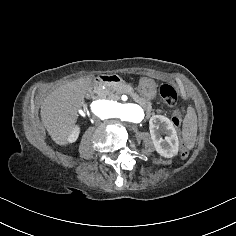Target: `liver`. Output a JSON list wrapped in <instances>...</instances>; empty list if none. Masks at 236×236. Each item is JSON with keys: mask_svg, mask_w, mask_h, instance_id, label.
<instances>
[{"mask_svg": "<svg viewBox=\"0 0 236 236\" xmlns=\"http://www.w3.org/2000/svg\"><path fill=\"white\" fill-rule=\"evenodd\" d=\"M92 78H79L55 89L41 105V120L51 138L59 145L76 123L77 110L84 103L85 94L91 89Z\"/></svg>", "mask_w": 236, "mask_h": 236, "instance_id": "obj_1", "label": "liver"}]
</instances>
